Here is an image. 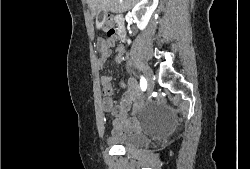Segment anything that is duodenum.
<instances>
[{
    "instance_id": "obj_1",
    "label": "duodenum",
    "mask_w": 250,
    "mask_h": 169,
    "mask_svg": "<svg viewBox=\"0 0 250 169\" xmlns=\"http://www.w3.org/2000/svg\"><path fill=\"white\" fill-rule=\"evenodd\" d=\"M117 21H118L119 26H120V34L124 38L125 37V29H124V26H123V19H122V17L118 16L117 17ZM99 59L101 60L102 57H99Z\"/></svg>"
}]
</instances>
